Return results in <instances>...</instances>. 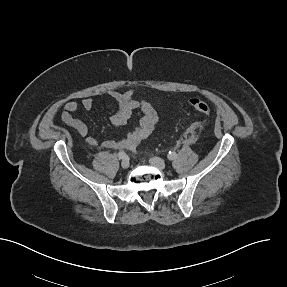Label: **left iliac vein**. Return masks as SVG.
Masks as SVG:
<instances>
[{
    "label": "left iliac vein",
    "instance_id": "4c4485c4",
    "mask_svg": "<svg viewBox=\"0 0 287 287\" xmlns=\"http://www.w3.org/2000/svg\"><path fill=\"white\" fill-rule=\"evenodd\" d=\"M149 162L151 165H153L154 167L160 170H164L166 167L165 161L159 157H152L150 158Z\"/></svg>",
    "mask_w": 287,
    "mask_h": 287
}]
</instances>
